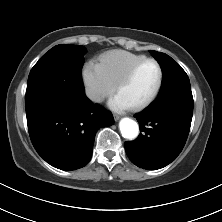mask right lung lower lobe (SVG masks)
Returning a JSON list of instances; mask_svg holds the SVG:
<instances>
[{
  "label": "right lung lower lobe",
  "instance_id": "98d812e1",
  "mask_svg": "<svg viewBox=\"0 0 222 222\" xmlns=\"http://www.w3.org/2000/svg\"><path fill=\"white\" fill-rule=\"evenodd\" d=\"M37 153L62 170L84 167L91 159L97 130L114 123L112 114L85 95L77 104L38 103L26 107Z\"/></svg>",
  "mask_w": 222,
  "mask_h": 222
}]
</instances>
